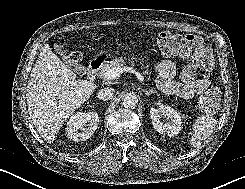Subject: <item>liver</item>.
Wrapping results in <instances>:
<instances>
[{
	"label": "liver",
	"mask_w": 245,
	"mask_h": 189,
	"mask_svg": "<svg viewBox=\"0 0 245 189\" xmlns=\"http://www.w3.org/2000/svg\"><path fill=\"white\" fill-rule=\"evenodd\" d=\"M97 87L93 81L77 80V74L45 44L32 69L26 93L29 113L41 137L52 143L64 121Z\"/></svg>",
	"instance_id": "obj_1"
}]
</instances>
